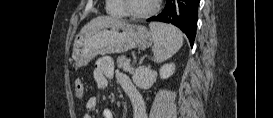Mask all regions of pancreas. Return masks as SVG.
<instances>
[{"label": "pancreas", "instance_id": "pancreas-1", "mask_svg": "<svg viewBox=\"0 0 273 118\" xmlns=\"http://www.w3.org/2000/svg\"><path fill=\"white\" fill-rule=\"evenodd\" d=\"M117 66L126 72H133V69L130 66V59H128L126 56H119L117 58Z\"/></svg>", "mask_w": 273, "mask_h": 118}]
</instances>
